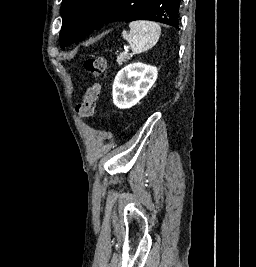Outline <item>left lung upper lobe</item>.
<instances>
[{
  "mask_svg": "<svg viewBox=\"0 0 256 267\" xmlns=\"http://www.w3.org/2000/svg\"><path fill=\"white\" fill-rule=\"evenodd\" d=\"M61 45L79 41L103 23L153 20L176 29L175 0H63Z\"/></svg>",
  "mask_w": 256,
  "mask_h": 267,
  "instance_id": "obj_1",
  "label": "left lung upper lobe"
}]
</instances>
